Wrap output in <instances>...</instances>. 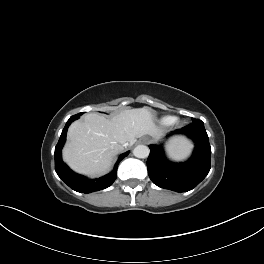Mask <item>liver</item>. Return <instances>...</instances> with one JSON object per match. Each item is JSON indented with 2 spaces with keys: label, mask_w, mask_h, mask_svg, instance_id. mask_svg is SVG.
Returning a JSON list of instances; mask_svg holds the SVG:
<instances>
[{
  "label": "liver",
  "mask_w": 264,
  "mask_h": 264,
  "mask_svg": "<svg viewBox=\"0 0 264 264\" xmlns=\"http://www.w3.org/2000/svg\"><path fill=\"white\" fill-rule=\"evenodd\" d=\"M144 135L154 139L161 136L152 113L146 108L125 110L111 119L89 113L69 127L63 159L78 173L100 175L109 170L124 143L132 146Z\"/></svg>",
  "instance_id": "obj_1"
}]
</instances>
